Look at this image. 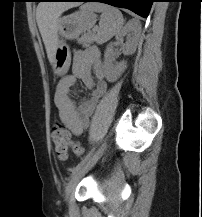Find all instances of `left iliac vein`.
<instances>
[{
  "mask_svg": "<svg viewBox=\"0 0 202 217\" xmlns=\"http://www.w3.org/2000/svg\"><path fill=\"white\" fill-rule=\"evenodd\" d=\"M106 145H103L94 156L82 166L77 173L71 178L65 190V200L68 202L70 200L71 194L73 193L76 185L80 181V179L88 172V170L97 162V160L102 156Z\"/></svg>",
  "mask_w": 202,
  "mask_h": 217,
  "instance_id": "obj_1",
  "label": "left iliac vein"
}]
</instances>
